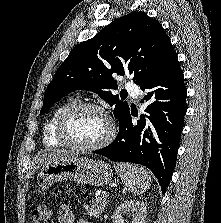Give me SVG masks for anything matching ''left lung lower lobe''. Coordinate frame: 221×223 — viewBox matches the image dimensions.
Wrapping results in <instances>:
<instances>
[{"instance_id":"obj_1","label":"left lung lower lobe","mask_w":221,"mask_h":223,"mask_svg":"<svg viewBox=\"0 0 221 223\" xmlns=\"http://www.w3.org/2000/svg\"><path fill=\"white\" fill-rule=\"evenodd\" d=\"M139 86L147 91L142 100L149 103L146 114H142L134 125L133 113L129 109L119 122L115 140L94 153L114 162H132L148 167L164 194L176 165L187 111L184 75L172 44L157 69Z\"/></svg>"}]
</instances>
